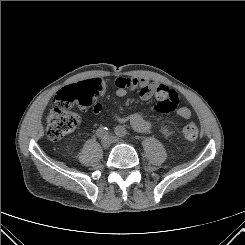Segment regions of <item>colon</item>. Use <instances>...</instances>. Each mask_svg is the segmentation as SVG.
Returning a JSON list of instances; mask_svg holds the SVG:
<instances>
[{
  "label": "colon",
  "instance_id": "1",
  "mask_svg": "<svg viewBox=\"0 0 245 245\" xmlns=\"http://www.w3.org/2000/svg\"><path fill=\"white\" fill-rule=\"evenodd\" d=\"M98 95V85L95 81L85 80L62 88L56 97L55 107L47 119V135L51 140H60L74 131L79 125V116L71 111L77 104L81 108L91 105ZM187 140L198 137L199 128L194 122L187 123L182 130Z\"/></svg>",
  "mask_w": 245,
  "mask_h": 245
}]
</instances>
